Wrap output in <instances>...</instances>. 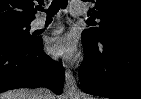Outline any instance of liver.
I'll use <instances>...</instances> for the list:
<instances>
[{"instance_id": "obj_1", "label": "liver", "mask_w": 141, "mask_h": 99, "mask_svg": "<svg viewBox=\"0 0 141 99\" xmlns=\"http://www.w3.org/2000/svg\"><path fill=\"white\" fill-rule=\"evenodd\" d=\"M35 90L32 89H16L0 94V99H35Z\"/></svg>"}]
</instances>
